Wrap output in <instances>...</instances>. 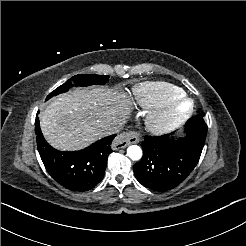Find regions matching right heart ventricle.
Here are the masks:
<instances>
[{"instance_id": "1", "label": "right heart ventricle", "mask_w": 246, "mask_h": 246, "mask_svg": "<svg viewBox=\"0 0 246 246\" xmlns=\"http://www.w3.org/2000/svg\"><path fill=\"white\" fill-rule=\"evenodd\" d=\"M181 90L164 82H141L133 88L137 104L147 110H158L180 96Z\"/></svg>"}]
</instances>
